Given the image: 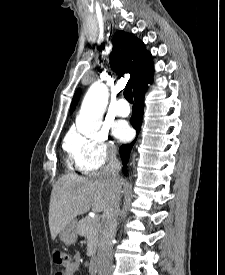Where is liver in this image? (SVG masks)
I'll use <instances>...</instances> for the list:
<instances>
[{
    "mask_svg": "<svg viewBox=\"0 0 225 275\" xmlns=\"http://www.w3.org/2000/svg\"><path fill=\"white\" fill-rule=\"evenodd\" d=\"M108 187L100 173L81 177L67 174L54 184L49 204V228L54 240L73 219L88 212L105 209Z\"/></svg>",
    "mask_w": 225,
    "mask_h": 275,
    "instance_id": "6515ba94",
    "label": "liver"
}]
</instances>
